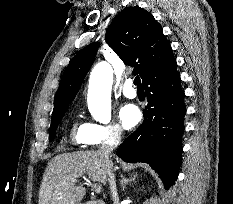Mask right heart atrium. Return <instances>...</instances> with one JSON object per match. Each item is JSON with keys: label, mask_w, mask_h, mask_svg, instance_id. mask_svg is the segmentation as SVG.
I'll return each mask as SVG.
<instances>
[{"label": "right heart atrium", "mask_w": 233, "mask_h": 204, "mask_svg": "<svg viewBox=\"0 0 233 204\" xmlns=\"http://www.w3.org/2000/svg\"><path fill=\"white\" fill-rule=\"evenodd\" d=\"M122 138L120 127L114 123H86L83 144L95 147L102 144L116 143Z\"/></svg>", "instance_id": "d8ad5b80"}]
</instances>
